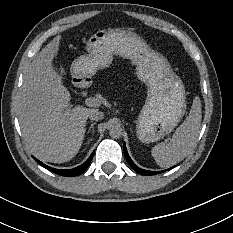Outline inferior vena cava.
Returning <instances> with one entry per match:
<instances>
[{
	"label": "inferior vena cava",
	"instance_id": "obj_1",
	"mask_svg": "<svg viewBox=\"0 0 233 233\" xmlns=\"http://www.w3.org/2000/svg\"><path fill=\"white\" fill-rule=\"evenodd\" d=\"M103 117L104 113L99 110H95L91 114H89V118L94 121L101 120Z\"/></svg>",
	"mask_w": 233,
	"mask_h": 233
}]
</instances>
